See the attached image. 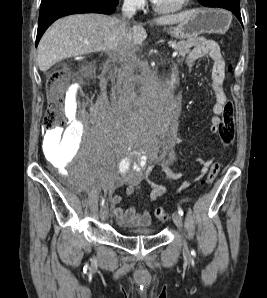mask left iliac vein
I'll list each match as a JSON object with an SVG mask.
<instances>
[{
  "label": "left iliac vein",
  "mask_w": 267,
  "mask_h": 298,
  "mask_svg": "<svg viewBox=\"0 0 267 298\" xmlns=\"http://www.w3.org/2000/svg\"><path fill=\"white\" fill-rule=\"evenodd\" d=\"M172 219L175 223V225L180 229V230H183V222H182V218H181V215L178 213V212H173L172 214ZM183 251L185 254H188L189 251H188V247H187V243L186 241L184 240L183 242Z\"/></svg>",
  "instance_id": "1"
}]
</instances>
